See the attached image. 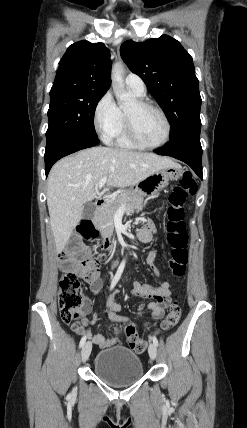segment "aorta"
<instances>
[{
	"instance_id": "762f6f07",
	"label": "aorta",
	"mask_w": 247,
	"mask_h": 428,
	"mask_svg": "<svg viewBox=\"0 0 247 428\" xmlns=\"http://www.w3.org/2000/svg\"><path fill=\"white\" fill-rule=\"evenodd\" d=\"M111 79L115 85L117 100L122 106H127L132 102V97L126 92L123 78V67L120 63L113 66Z\"/></svg>"
}]
</instances>
